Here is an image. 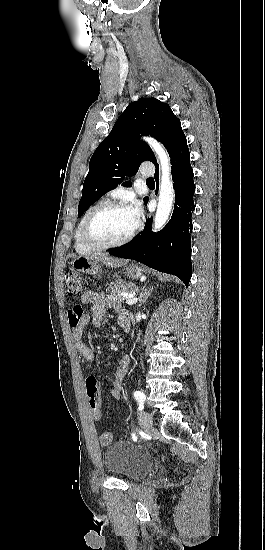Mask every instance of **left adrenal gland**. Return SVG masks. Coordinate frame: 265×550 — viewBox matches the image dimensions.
Instances as JSON below:
<instances>
[{
  "mask_svg": "<svg viewBox=\"0 0 265 550\" xmlns=\"http://www.w3.org/2000/svg\"><path fill=\"white\" fill-rule=\"evenodd\" d=\"M152 290H153V287H150L149 289H146L145 286L143 287L139 296V306H141L147 300Z\"/></svg>",
  "mask_w": 265,
  "mask_h": 550,
  "instance_id": "a2214340",
  "label": "left adrenal gland"
}]
</instances>
